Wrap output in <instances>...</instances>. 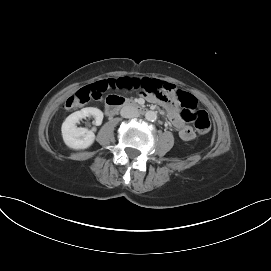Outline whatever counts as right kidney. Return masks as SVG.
<instances>
[{
	"label": "right kidney",
	"mask_w": 271,
	"mask_h": 271,
	"mask_svg": "<svg viewBox=\"0 0 271 271\" xmlns=\"http://www.w3.org/2000/svg\"><path fill=\"white\" fill-rule=\"evenodd\" d=\"M93 116L94 124L100 126L103 120L101 110L93 107H86L69 115L62 124V136L65 144L72 149H86L90 147L95 140V134L92 130L77 127V123L83 118Z\"/></svg>",
	"instance_id": "1"
}]
</instances>
